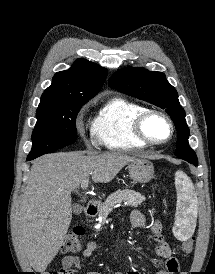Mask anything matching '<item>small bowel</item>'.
Instances as JSON below:
<instances>
[{"label": "small bowel", "mask_w": 215, "mask_h": 274, "mask_svg": "<svg viewBox=\"0 0 215 274\" xmlns=\"http://www.w3.org/2000/svg\"><path fill=\"white\" fill-rule=\"evenodd\" d=\"M131 224L133 227L150 228L153 233V240L156 244V254L165 260V267L157 270L156 274H177L180 273V266L178 260L172 255V250L165 239L162 232V225L158 220H153L148 223L145 216L140 211H133L130 216ZM97 242L90 240L87 242L85 249L81 252L80 256H65L62 260L64 274H74L75 269L79 268L83 259L91 257L97 249ZM86 274H101L98 271H90ZM114 274H124L122 272H115ZM131 274V273H129ZM180 274H186L181 272Z\"/></svg>", "instance_id": "small-bowel-1"}]
</instances>
